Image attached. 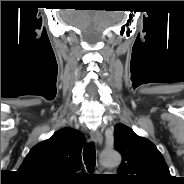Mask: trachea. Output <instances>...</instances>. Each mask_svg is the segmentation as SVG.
Wrapping results in <instances>:
<instances>
[{
	"instance_id": "3493384b",
	"label": "trachea",
	"mask_w": 184,
	"mask_h": 184,
	"mask_svg": "<svg viewBox=\"0 0 184 184\" xmlns=\"http://www.w3.org/2000/svg\"><path fill=\"white\" fill-rule=\"evenodd\" d=\"M83 160L88 171L92 172L95 167L96 150L94 143H89L83 150Z\"/></svg>"
}]
</instances>
